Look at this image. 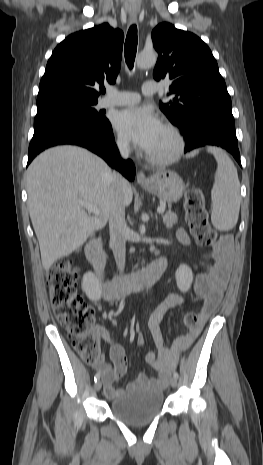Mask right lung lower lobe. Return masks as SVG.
<instances>
[{
	"label": "right lung lower lobe",
	"mask_w": 263,
	"mask_h": 465,
	"mask_svg": "<svg viewBox=\"0 0 263 465\" xmlns=\"http://www.w3.org/2000/svg\"><path fill=\"white\" fill-rule=\"evenodd\" d=\"M62 144L87 148L102 157L111 167L119 170L127 179L133 180L135 177L133 162L120 158L109 121L99 125L73 119H53L35 125L27 165L41 151Z\"/></svg>",
	"instance_id": "right-lung-lower-lobe-1"
}]
</instances>
